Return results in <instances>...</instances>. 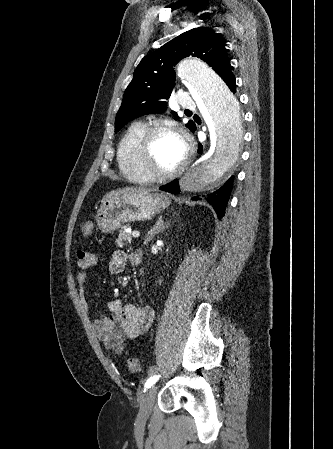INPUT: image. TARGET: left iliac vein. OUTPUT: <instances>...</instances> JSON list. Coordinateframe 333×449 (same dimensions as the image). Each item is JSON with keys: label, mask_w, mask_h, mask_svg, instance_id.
Here are the masks:
<instances>
[{"label": "left iliac vein", "mask_w": 333, "mask_h": 449, "mask_svg": "<svg viewBox=\"0 0 333 449\" xmlns=\"http://www.w3.org/2000/svg\"><path fill=\"white\" fill-rule=\"evenodd\" d=\"M156 393H157V387L155 385L150 387V389H148L147 392L145 393V395L141 401L139 415H138L140 420L145 421L151 415L153 406H154V400L156 397Z\"/></svg>", "instance_id": "obj_1"}]
</instances>
